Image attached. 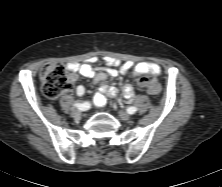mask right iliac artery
I'll return each instance as SVG.
<instances>
[{
  "instance_id": "82829eb1",
  "label": "right iliac artery",
  "mask_w": 222,
  "mask_h": 187,
  "mask_svg": "<svg viewBox=\"0 0 222 187\" xmlns=\"http://www.w3.org/2000/svg\"><path fill=\"white\" fill-rule=\"evenodd\" d=\"M73 106L77 107L81 111H85L90 108L91 104L89 102H83V103L76 102L73 104Z\"/></svg>"
}]
</instances>
